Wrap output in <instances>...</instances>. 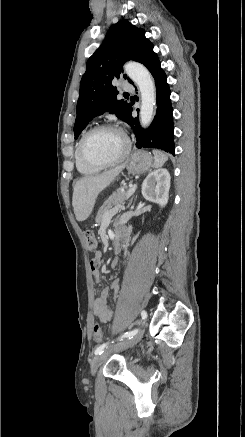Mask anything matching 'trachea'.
<instances>
[{"instance_id":"trachea-1","label":"trachea","mask_w":245,"mask_h":437,"mask_svg":"<svg viewBox=\"0 0 245 437\" xmlns=\"http://www.w3.org/2000/svg\"><path fill=\"white\" fill-rule=\"evenodd\" d=\"M124 95H129L128 93H125Z\"/></svg>"}]
</instances>
